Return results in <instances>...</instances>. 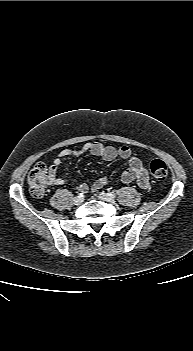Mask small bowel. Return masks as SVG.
<instances>
[{"label": "small bowel", "instance_id": "obj_1", "mask_svg": "<svg viewBox=\"0 0 193 351\" xmlns=\"http://www.w3.org/2000/svg\"><path fill=\"white\" fill-rule=\"evenodd\" d=\"M86 153L100 157L105 161H113L117 157H120L121 159L125 160L128 164V167L121 175V181L126 184L135 181L137 182L139 187L143 189L148 188L149 177L144 168V165L139 158L132 155L131 149L129 147L122 146L120 148H116L114 146L105 145L100 142H87L80 148H66L58 152L56 157L53 159L52 165L50 167L51 183L53 185L58 186L66 184L68 182L67 179L57 176V169L60 166L62 160L66 157H77ZM107 183V177H100L92 184L91 187H89L85 183H81L76 186V189L79 192L83 193L88 192L90 189L92 191H98L105 185H107Z\"/></svg>", "mask_w": 193, "mask_h": 351}]
</instances>
